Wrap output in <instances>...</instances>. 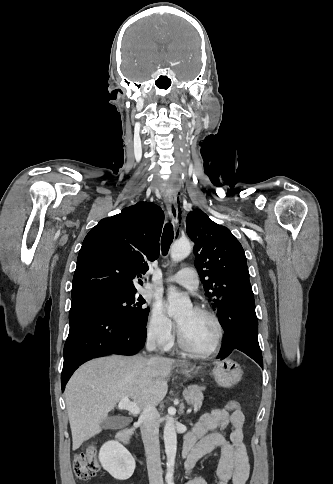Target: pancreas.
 Returning <instances> with one entry per match:
<instances>
[{
	"instance_id": "pancreas-1",
	"label": "pancreas",
	"mask_w": 333,
	"mask_h": 484,
	"mask_svg": "<svg viewBox=\"0 0 333 484\" xmlns=\"http://www.w3.org/2000/svg\"><path fill=\"white\" fill-rule=\"evenodd\" d=\"M203 386L191 385L183 393L187 403L195 408H200L204 398L202 391Z\"/></svg>"
}]
</instances>
